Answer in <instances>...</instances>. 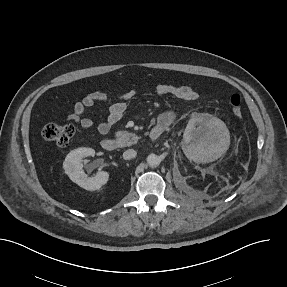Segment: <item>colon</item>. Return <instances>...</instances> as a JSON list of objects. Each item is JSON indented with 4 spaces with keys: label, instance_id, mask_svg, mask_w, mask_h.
<instances>
[{
    "label": "colon",
    "instance_id": "1",
    "mask_svg": "<svg viewBox=\"0 0 287 287\" xmlns=\"http://www.w3.org/2000/svg\"><path fill=\"white\" fill-rule=\"evenodd\" d=\"M231 113L236 118L243 116V103L240 95L234 94L229 101ZM75 135V128L72 125L48 124L42 130V136L58 146L67 145Z\"/></svg>",
    "mask_w": 287,
    "mask_h": 287
}]
</instances>
